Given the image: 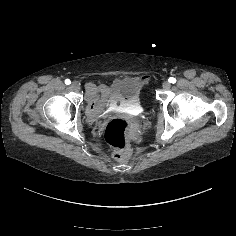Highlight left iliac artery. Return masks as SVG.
Listing matches in <instances>:
<instances>
[{"label": "left iliac artery", "mask_w": 236, "mask_h": 236, "mask_svg": "<svg viewBox=\"0 0 236 236\" xmlns=\"http://www.w3.org/2000/svg\"><path fill=\"white\" fill-rule=\"evenodd\" d=\"M168 81H169L170 83H173V84H174V83L176 82V79L173 78V77H170Z\"/></svg>", "instance_id": "44dca946"}]
</instances>
